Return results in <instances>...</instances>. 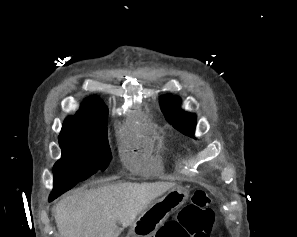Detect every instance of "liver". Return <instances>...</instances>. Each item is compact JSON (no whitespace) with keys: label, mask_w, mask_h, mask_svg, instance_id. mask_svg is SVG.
Instances as JSON below:
<instances>
[{"label":"liver","mask_w":297,"mask_h":237,"mask_svg":"<svg viewBox=\"0 0 297 237\" xmlns=\"http://www.w3.org/2000/svg\"><path fill=\"white\" fill-rule=\"evenodd\" d=\"M174 186L172 182L118 183L77 191L53 208L60 236L118 237L153 200Z\"/></svg>","instance_id":"1"}]
</instances>
